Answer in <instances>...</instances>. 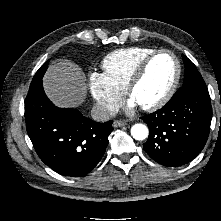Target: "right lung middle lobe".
Listing matches in <instances>:
<instances>
[{
  "mask_svg": "<svg viewBox=\"0 0 221 221\" xmlns=\"http://www.w3.org/2000/svg\"><path fill=\"white\" fill-rule=\"evenodd\" d=\"M49 60L46 61L40 68L39 70L36 72L32 82H31V85H34L40 81H42V77L47 69V64H48Z\"/></svg>",
  "mask_w": 221,
  "mask_h": 221,
  "instance_id": "dd1d6c3e",
  "label": "right lung middle lobe"
}]
</instances>
